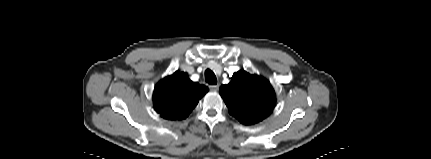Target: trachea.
<instances>
[{
    "mask_svg": "<svg viewBox=\"0 0 431 159\" xmlns=\"http://www.w3.org/2000/svg\"><path fill=\"white\" fill-rule=\"evenodd\" d=\"M205 80L210 85H216L217 84V78H216L214 72L211 71L210 69H207L205 71Z\"/></svg>",
    "mask_w": 431,
    "mask_h": 159,
    "instance_id": "1",
    "label": "trachea"
}]
</instances>
